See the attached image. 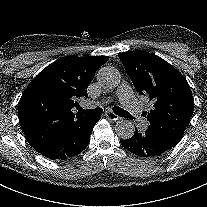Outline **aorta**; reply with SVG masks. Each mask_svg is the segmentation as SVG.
<instances>
[{
    "label": "aorta",
    "instance_id": "obj_1",
    "mask_svg": "<svg viewBox=\"0 0 207 207\" xmlns=\"http://www.w3.org/2000/svg\"><path fill=\"white\" fill-rule=\"evenodd\" d=\"M119 71L111 66H105L97 72V81L104 89H114L120 83ZM115 132L121 139H130L135 133V126L129 120H119L115 125Z\"/></svg>",
    "mask_w": 207,
    "mask_h": 207
}]
</instances>
